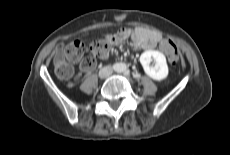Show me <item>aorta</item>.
<instances>
[{
	"instance_id": "aorta-1",
	"label": "aorta",
	"mask_w": 230,
	"mask_h": 155,
	"mask_svg": "<svg viewBox=\"0 0 230 155\" xmlns=\"http://www.w3.org/2000/svg\"><path fill=\"white\" fill-rule=\"evenodd\" d=\"M127 68L126 64H121L120 65V71H125Z\"/></svg>"
}]
</instances>
